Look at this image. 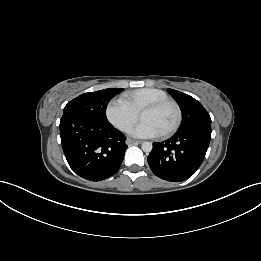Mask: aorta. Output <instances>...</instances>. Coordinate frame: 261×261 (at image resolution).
Instances as JSON below:
<instances>
[{
	"mask_svg": "<svg viewBox=\"0 0 261 261\" xmlns=\"http://www.w3.org/2000/svg\"><path fill=\"white\" fill-rule=\"evenodd\" d=\"M141 148L144 152L149 153L152 151L153 145L151 142L146 141L142 143Z\"/></svg>",
	"mask_w": 261,
	"mask_h": 261,
	"instance_id": "762f6f07",
	"label": "aorta"
}]
</instances>
